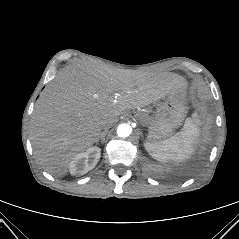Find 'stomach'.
<instances>
[{
    "label": "stomach",
    "mask_w": 239,
    "mask_h": 239,
    "mask_svg": "<svg viewBox=\"0 0 239 239\" xmlns=\"http://www.w3.org/2000/svg\"><path fill=\"white\" fill-rule=\"evenodd\" d=\"M185 92L177 91L159 102L156 110L151 114L148 141H164L172 136L173 131L181 126L186 115Z\"/></svg>",
    "instance_id": "obj_1"
}]
</instances>
